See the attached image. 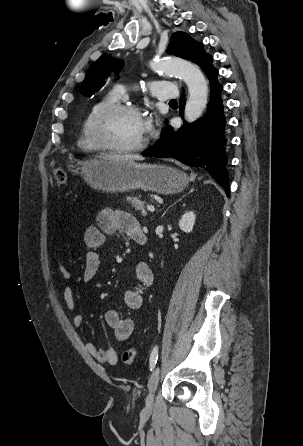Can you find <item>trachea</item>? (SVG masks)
I'll list each match as a JSON object with an SVG mask.
<instances>
[{
  "instance_id": "1",
  "label": "trachea",
  "mask_w": 303,
  "mask_h": 446,
  "mask_svg": "<svg viewBox=\"0 0 303 446\" xmlns=\"http://www.w3.org/2000/svg\"><path fill=\"white\" fill-rule=\"evenodd\" d=\"M169 103H177V101L175 99H173Z\"/></svg>"
}]
</instances>
